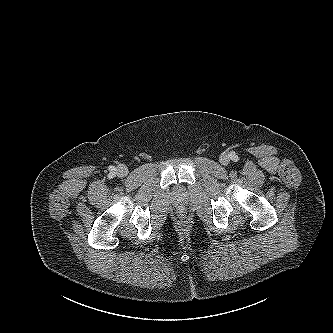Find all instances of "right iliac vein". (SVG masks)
Instances as JSON below:
<instances>
[{"label":"right iliac vein","instance_id":"1","mask_svg":"<svg viewBox=\"0 0 333 333\" xmlns=\"http://www.w3.org/2000/svg\"><path fill=\"white\" fill-rule=\"evenodd\" d=\"M117 174L121 177H124L128 174V169L125 166H120L117 169Z\"/></svg>","mask_w":333,"mask_h":333}]
</instances>
